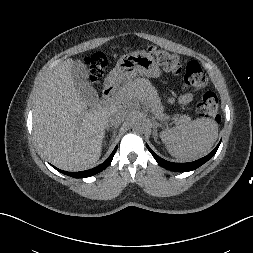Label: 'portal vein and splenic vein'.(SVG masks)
<instances>
[{
	"label": "portal vein and splenic vein",
	"mask_w": 253,
	"mask_h": 253,
	"mask_svg": "<svg viewBox=\"0 0 253 253\" xmlns=\"http://www.w3.org/2000/svg\"><path fill=\"white\" fill-rule=\"evenodd\" d=\"M98 106H100V104H97ZM174 119V121H178V118H173Z\"/></svg>",
	"instance_id": "obj_1"
}]
</instances>
